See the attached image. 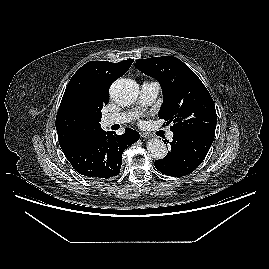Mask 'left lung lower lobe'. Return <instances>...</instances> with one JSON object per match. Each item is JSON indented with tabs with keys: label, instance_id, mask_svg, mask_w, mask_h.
Returning <instances> with one entry per match:
<instances>
[{
	"label": "left lung lower lobe",
	"instance_id": "obj_1",
	"mask_svg": "<svg viewBox=\"0 0 269 269\" xmlns=\"http://www.w3.org/2000/svg\"><path fill=\"white\" fill-rule=\"evenodd\" d=\"M214 136L205 133L173 135L171 150L164 159L156 160L158 171L168 176H185L192 173L206 157Z\"/></svg>",
	"mask_w": 269,
	"mask_h": 269
}]
</instances>
